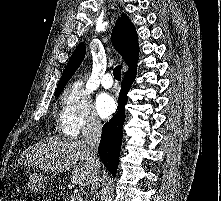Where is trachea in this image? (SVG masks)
Masks as SVG:
<instances>
[{
    "instance_id": "1",
    "label": "trachea",
    "mask_w": 221,
    "mask_h": 201,
    "mask_svg": "<svg viewBox=\"0 0 221 201\" xmlns=\"http://www.w3.org/2000/svg\"><path fill=\"white\" fill-rule=\"evenodd\" d=\"M113 75L116 80H121V65H118L114 68Z\"/></svg>"
}]
</instances>
